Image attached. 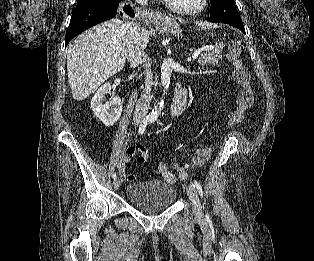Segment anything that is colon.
<instances>
[{
	"instance_id": "obj_1",
	"label": "colon",
	"mask_w": 314,
	"mask_h": 261,
	"mask_svg": "<svg viewBox=\"0 0 314 261\" xmlns=\"http://www.w3.org/2000/svg\"><path fill=\"white\" fill-rule=\"evenodd\" d=\"M239 54V43L235 41L231 42L229 48V56L234 67L235 80L242 89L237 96V108L230 114L228 120L229 127L236 125L242 120L244 112L252 106L254 101V94L251 85V75L248 68L239 59ZM211 153L212 149L210 147L198 149L195 152L193 158L185 163L184 169L188 171L195 166L203 165L209 160ZM138 160L143 163L147 159H145L144 156H139Z\"/></svg>"
}]
</instances>
